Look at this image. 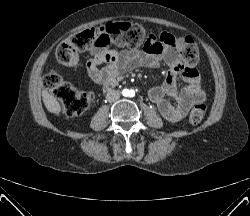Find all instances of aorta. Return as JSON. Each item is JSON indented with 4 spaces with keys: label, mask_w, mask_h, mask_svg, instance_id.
Instances as JSON below:
<instances>
[{
    "label": "aorta",
    "mask_w": 250,
    "mask_h": 216,
    "mask_svg": "<svg viewBox=\"0 0 250 216\" xmlns=\"http://www.w3.org/2000/svg\"><path fill=\"white\" fill-rule=\"evenodd\" d=\"M133 94H134V92H133V90H124L123 91V95L124 96H133Z\"/></svg>",
    "instance_id": "1"
}]
</instances>
